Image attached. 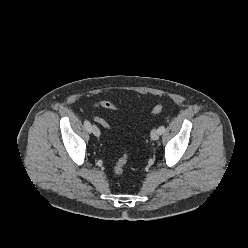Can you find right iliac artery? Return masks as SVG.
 <instances>
[{
	"mask_svg": "<svg viewBox=\"0 0 248 248\" xmlns=\"http://www.w3.org/2000/svg\"><path fill=\"white\" fill-rule=\"evenodd\" d=\"M84 126L89 132L91 131V123L88 120L84 121Z\"/></svg>",
	"mask_w": 248,
	"mask_h": 248,
	"instance_id": "1",
	"label": "right iliac artery"
}]
</instances>
